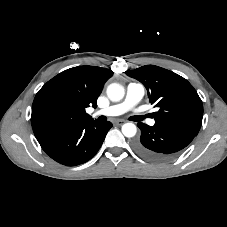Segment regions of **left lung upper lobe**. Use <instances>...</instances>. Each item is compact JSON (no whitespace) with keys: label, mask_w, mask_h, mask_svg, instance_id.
<instances>
[{"label":"left lung upper lobe","mask_w":227,"mask_h":227,"mask_svg":"<svg viewBox=\"0 0 227 227\" xmlns=\"http://www.w3.org/2000/svg\"><path fill=\"white\" fill-rule=\"evenodd\" d=\"M126 74L147 89L151 104L158 107L155 124L179 128L197 135L203 118V105L193 86L167 69L146 65Z\"/></svg>","instance_id":"left-lung-upper-lobe-1"}]
</instances>
